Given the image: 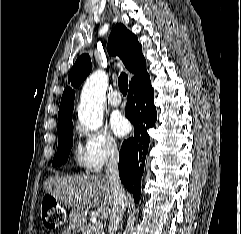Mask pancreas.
Listing matches in <instances>:
<instances>
[{"label":"pancreas","instance_id":"obj_1","mask_svg":"<svg viewBox=\"0 0 241 234\" xmlns=\"http://www.w3.org/2000/svg\"><path fill=\"white\" fill-rule=\"evenodd\" d=\"M82 234H101V230L95 229L93 224H88L83 227Z\"/></svg>","mask_w":241,"mask_h":234}]
</instances>
